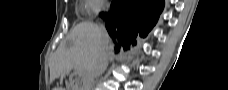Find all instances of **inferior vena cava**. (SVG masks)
Returning <instances> with one entry per match:
<instances>
[{
  "label": "inferior vena cava",
  "mask_w": 228,
  "mask_h": 90,
  "mask_svg": "<svg viewBox=\"0 0 228 90\" xmlns=\"http://www.w3.org/2000/svg\"><path fill=\"white\" fill-rule=\"evenodd\" d=\"M101 36H102V47L96 58L95 63L88 72L87 79L84 81V90H93L95 84V78L101 76L107 68L108 65V47L107 38L108 34L105 25H101Z\"/></svg>",
  "instance_id": "inferior-vena-cava-1"
}]
</instances>
